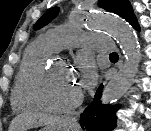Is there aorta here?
<instances>
[{"mask_svg":"<svg viewBox=\"0 0 151 131\" xmlns=\"http://www.w3.org/2000/svg\"><path fill=\"white\" fill-rule=\"evenodd\" d=\"M88 26L104 30L113 35L119 42L125 63L115 77L104 88L101 102L109 104L120 99L132 85L141 60V52L135 33L122 18L110 14H97L89 17Z\"/></svg>","mask_w":151,"mask_h":131,"instance_id":"1","label":"aorta"}]
</instances>
